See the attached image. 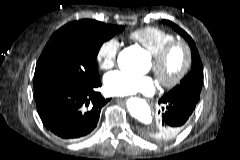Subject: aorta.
Here are the masks:
<instances>
[{
    "label": "aorta",
    "instance_id": "762f6f07",
    "mask_svg": "<svg viewBox=\"0 0 240 160\" xmlns=\"http://www.w3.org/2000/svg\"><path fill=\"white\" fill-rule=\"evenodd\" d=\"M128 58L131 65L135 70H139L144 63L143 51L138 48H128L121 52L118 58V62L121 65L122 62ZM127 108L131 115L138 119L145 125H150L153 121V116L148 104L140 98H130L127 101Z\"/></svg>",
    "mask_w": 240,
    "mask_h": 160
}]
</instances>
